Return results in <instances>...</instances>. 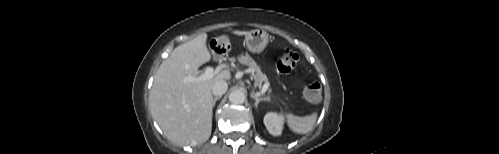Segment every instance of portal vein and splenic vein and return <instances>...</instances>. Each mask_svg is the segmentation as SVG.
<instances>
[{
  "label": "portal vein and splenic vein",
  "mask_w": 499,
  "mask_h": 154,
  "mask_svg": "<svg viewBox=\"0 0 499 154\" xmlns=\"http://www.w3.org/2000/svg\"><path fill=\"white\" fill-rule=\"evenodd\" d=\"M222 71V68L221 67H218L216 69L212 68V67H207L205 69V72L203 74H201L199 77H193V76H187L184 78V81L185 82H193V81H204V80H208V79H211L213 78L215 75H217L218 73H220ZM268 86L265 84L262 88V90L260 91V94H264L267 90Z\"/></svg>",
  "instance_id": "obj_1"
}]
</instances>
